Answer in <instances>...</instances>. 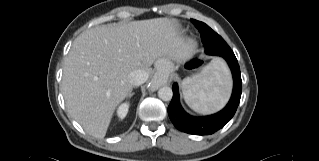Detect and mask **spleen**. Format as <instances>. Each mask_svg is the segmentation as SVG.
Returning <instances> with one entry per match:
<instances>
[{"label":"spleen","mask_w":319,"mask_h":161,"mask_svg":"<svg viewBox=\"0 0 319 161\" xmlns=\"http://www.w3.org/2000/svg\"><path fill=\"white\" fill-rule=\"evenodd\" d=\"M231 78L228 67L220 60L212 61L199 74L182 82V93L187 105L198 113H212L228 100Z\"/></svg>","instance_id":"3e777b00"}]
</instances>
